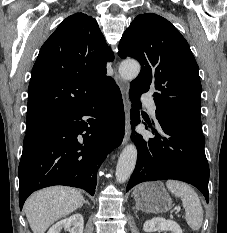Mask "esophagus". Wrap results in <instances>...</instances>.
I'll return each mask as SVG.
<instances>
[{
  "label": "esophagus",
  "instance_id": "34e87169",
  "mask_svg": "<svg viewBox=\"0 0 227 233\" xmlns=\"http://www.w3.org/2000/svg\"><path fill=\"white\" fill-rule=\"evenodd\" d=\"M116 83L118 84L124 103V111H125V134L122 141V144H126L131 136V125H130V109L131 102L129 100V84L125 80H123L118 74L115 75Z\"/></svg>",
  "mask_w": 227,
  "mask_h": 233
}]
</instances>
